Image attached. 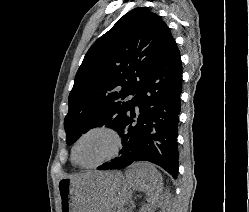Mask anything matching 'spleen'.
Masks as SVG:
<instances>
[{
  "label": "spleen",
  "mask_w": 249,
  "mask_h": 212,
  "mask_svg": "<svg viewBox=\"0 0 249 212\" xmlns=\"http://www.w3.org/2000/svg\"><path fill=\"white\" fill-rule=\"evenodd\" d=\"M150 174H151V176H154V178H156V176H161V174H158V172H157V170H155V168H152ZM148 188H149L148 192H150V196H152V198H153V194H152L153 188H151V186H148ZM154 188H155V190H157L154 198H157L159 188H160L159 184H155Z\"/></svg>",
  "instance_id": "1"
}]
</instances>
